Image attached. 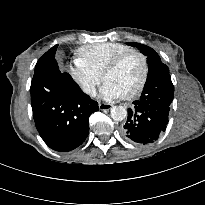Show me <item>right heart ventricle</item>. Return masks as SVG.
<instances>
[{
	"instance_id": "right-heart-ventricle-1",
	"label": "right heart ventricle",
	"mask_w": 205,
	"mask_h": 205,
	"mask_svg": "<svg viewBox=\"0 0 205 205\" xmlns=\"http://www.w3.org/2000/svg\"><path fill=\"white\" fill-rule=\"evenodd\" d=\"M130 49L128 45L118 42L88 44L79 48L78 59L101 75L113 58Z\"/></svg>"
}]
</instances>
